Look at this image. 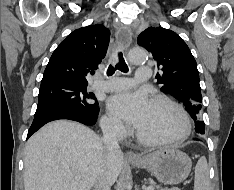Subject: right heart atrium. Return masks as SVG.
I'll list each match as a JSON object with an SVG mask.
<instances>
[{"mask_svg":"<svg viewBox=\"0 0 234 190\" xmlns=\"http://www.w3.org/2000/svg\"><path fill=\"white\" fill-rule=\"evenodd\" d=\"M101 123L104 131L108 133L116 134L118 136H123L126 133L125 126L111 116H104Z\"/></svg>","mask_w":234,"mask_h":190,"instance_id":"d8ad5b80","label":"right heart atrium"}]
</instances>
